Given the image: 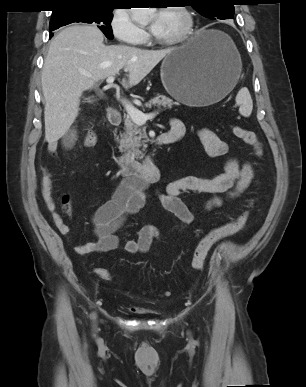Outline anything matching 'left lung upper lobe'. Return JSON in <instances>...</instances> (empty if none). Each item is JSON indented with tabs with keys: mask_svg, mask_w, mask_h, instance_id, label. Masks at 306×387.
Wrapping results in <instances>:
<instances>
[{
	"mask_svg": "<svg viewBox=\"0 0 306 387\" xmlns=\"http://www.w3.org/2000/svg\"><path fill=\"white\" fill-rule=\"evenodd\" d=\"M189 2L196 11L212 20L231 19L234 16L233 0H190Z\"/></svg>",
	"mask_w": 306,
	"mask_h": 387,
	"instance_id": "1",
	"label": "left lung upper lobe"
}]
</instances>
